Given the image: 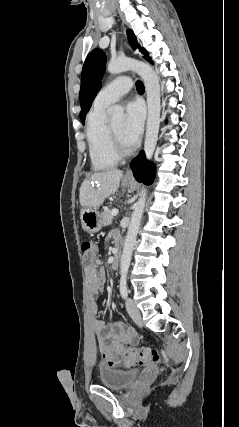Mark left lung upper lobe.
<instances>
[{
    "label": "left lung upper lobe",
    "mask_w": 239,
    "mask_h": 427,
    "mask_svg": "<svg viewBox=\"0 0 239 427\" xmlns=\"http://www.w3.org/2000/svg\"><path fill=\"white\" fill-rule=\"evenodd\" d=\"M127 35L129 43L131 44L133 49H136L138 47V43L132 30H128ZM139 49L141 53L146 55L145 59L149 60V57H147L148 53L146 52V50L140 47ZM105 62L106 56L101 49L92 50L85 60L82 69L80 89V118L83 124L85 121L86 113L90 109L97 92L101 88L102 83L100 81L105 72Z\"/></svg>",
    "instance_id": "5c2ea615"
}]
</instances>
